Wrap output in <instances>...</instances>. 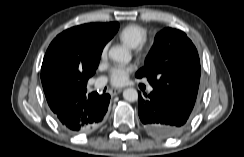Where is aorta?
<instances>
[{
    "label": "aorta",
    "mask_w": 244,
    "mask_h": 157,
    "mask_svg": "<svg viewBox=\"0 0 244 157\" xmlns=\"http://www.w3.org/2000/svg\"><path fill=\"white\" fill-rule=\"evenodd\" d=\"M109 57L116 62L127 63L131 59L129 51L121 46H113L109 50ZM123 97L126 101L135 102L138 100V92L134 88H127L123 91Z\"/></svg>",
    "instance_id": "obj_1"
}]
</instances>
